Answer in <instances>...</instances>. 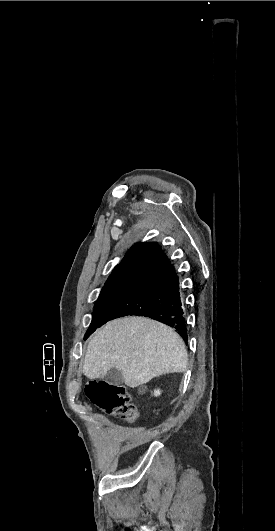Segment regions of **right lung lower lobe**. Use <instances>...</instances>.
<instances>
[{"mask_svg": "<svg viewBox=\"0 0 275 531\" xmlns=\"http://www.w3.org/2000/svg\"><path fill=\"white\" fill-rule=\"evenodd\" d=\"M128 315L150 317L165 323L175 328L184 341L188 340L178 276L165 254L155 259L111 306L100 326Z\"/></svg>", "mask_w": 275, "mask_h": 531, "instance_id": "obj_1", "label": "right lung lower lobe"}]
</instances>
